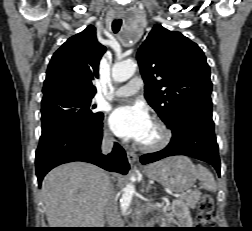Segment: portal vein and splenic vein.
I'll return each instance as SVG.
<instances>
[{
    "label": "portal vein and splenic vein",
    "mask_w": 252,
    "mask_h": 231,
    "mask_svg": "<svg viewBox=\"0 0 252 231\" xmlns=\"http://www.w3.org/2000/svg\"><path fill=\"white\" fill-rule=\"evenodd\" d=\"M186 195V193H182V194H175L174 196L175 197H180V198H182V197H184Z\"/></svg>",
    "instance_id": "18ae733b"
}]
</instances>
